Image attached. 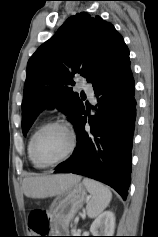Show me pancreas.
<instances>
[{
	"label": "pancreas",
	"mask_w": 158,
	"mask_h": 237,
	"mask_svg": "<svg viewBox=\"0 0 158 237\" xmlns=\"http://www.w3.org/2000/svg\"><path fill=\"white\" fill-rule=\"evenodd\" d=\"M71 233H73V235H77V233H79L78 231H76L75 229L71 230Z\"/></svg>",
	"instance_id": "cf45deb5"
}]
</instances>
